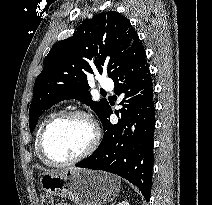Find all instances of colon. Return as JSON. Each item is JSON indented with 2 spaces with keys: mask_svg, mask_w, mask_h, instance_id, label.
Instances as JSON below:
<instances>
[{
  "mask_svg": "<svg viewBox=\"0 0 212 205\" xmlns=\"http://www.w3.org/2000/svg\"><path fill=\"white\" fill-rule=\"evenodd\" d=\"M41 205H53V197L50 193L44 192L40 199Z\"/></svg>",
  "mask_w": 212,
  "mask_h": 205,
  "instance_id": "5ec220e1",
  "label": "colon"
}]
</instances>
